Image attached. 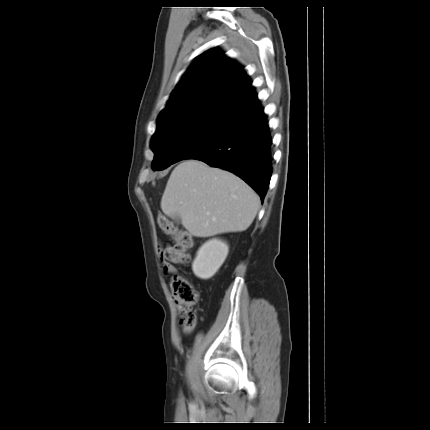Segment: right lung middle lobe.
Returning a JSON list of instances; mask_svg holds the SVG:
<instances>
[{
    "mask_svg": "<svg viewBox=\"0 0 430 430\" xmlns=\"http://www.w3.org/2000/svg\"><path fill=\"white\" fill-rule=\"evenodd\" d=\"M237 116L226 101L207 100L158 119L151 142L155 153L152 169H165L186 159L225 131Z\"/></svg>",
    "mask_w": 430,
    "mask_h": 430,
    "instance_id": "1",
    "label": "right lung middle lobe"
}]
</instances>
